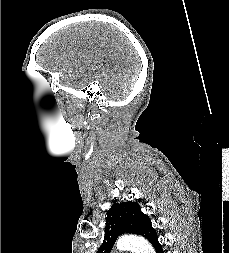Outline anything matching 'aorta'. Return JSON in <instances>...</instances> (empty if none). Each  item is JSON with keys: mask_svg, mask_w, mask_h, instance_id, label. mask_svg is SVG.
Segmentation results:
<instances>
[{"mask_svg": "<svg viewBox=\"0 0 229 253\" xmlns=\"http://www.w3.org/2000/svg\"><path fill=\"white\" fill-rule=\"evenodd\" d=\"M116 246L121 251L131 250L135 253H155L152 245L144 238L138 236L120 238Z\"/></svg>", "mask_w": 229, "mask_h": 253, "instance_id": "762f6f07", "label": "aorta"}]
</instances>
